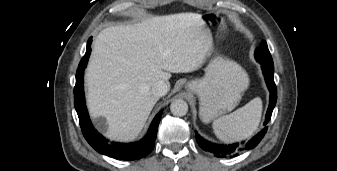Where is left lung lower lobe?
Returning <instances> with one entry per match:
<instances>
[{"label": "left lung lower lobe", "mask_w": 337, "mask_h": 171, "mask_svg": "<svg viewBox=\"0 0 337 171\" xmlns=\"http://www.w3.org/2000/svg\"><path fill=\"white\" fill-rule=\"evenodd\" d=\"M261 64L263 74L265 77V81L267 83L268 89L270 91V104L266 113V119L264 122V125H266L269 120L271 119V115L273 112V109L276 104L277 100V90L276 85L274 82V66L273 64H267L263 62H259ZM267 131V126L264 127L263 130H261L257 135H255L253 138H251L243 147H238V144L228 145V146H222V145H216L212 144L196 133V139L200 147L208 152H211L216 157H232L237 156L241 151L250 150L253 149L258 145V143L261 141V139L264 137L265 133Z\"/></svg>", "instance_id": "0a47b994"}]
</instances>
